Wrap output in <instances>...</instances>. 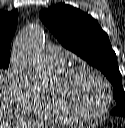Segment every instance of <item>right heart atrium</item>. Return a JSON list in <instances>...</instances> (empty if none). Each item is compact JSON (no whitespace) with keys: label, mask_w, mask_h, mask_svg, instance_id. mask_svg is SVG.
I'll use <instances>...</instances> for the list:
<instances>
[{"label":"right heart atrium","mask_w":125,"mask_h":128,"mask_svg":"<svg viewBox=\"0 0 125 128\" xmlns=\"http://www.w3.org/2000/svg\"><path fill=\"white\" fill-rule=\"evenodd\" d=\"M11 103L19 111L31 113L35 108L40 91L22 73L11 69L7 74Z\"/></svg>","instance_id":"1"}]
</instances>
